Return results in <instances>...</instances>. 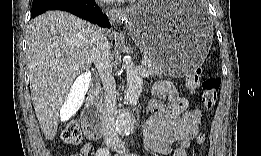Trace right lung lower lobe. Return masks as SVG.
<instances>
[{
  "label": "right lung lower lobe",
  "mask_w": 261,
  "mask_h": 156,
  "mask_svg": "<svg viewBox=\"0 0 261 156\" xmlns=\"http://www.w3.org/2000/svg\"><path fill=\"white\" fill-rule=\"evenodd\" d=\"M47 10L67 11L101 27L110 28L107 16L100 13V8L93 0H34L31 16L35 17Z\"/></svg>",
  "instance_id": "obj_1"
}]
</instances>
